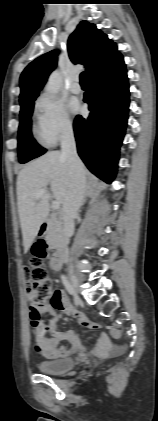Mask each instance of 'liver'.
<instances>
[{
	"mask_svg": "<svg viewBox=\"0 0 158 421\" xmlns=\"http://www.w3.org/2000/svg\"><path fill=\"white\" fill-rule=\"evenodd\" d=\"M69 185L68 162L60 151L47 152L19 172L17 203L25 252L49 214L51 194L63 204ZM47 186H50L51 193L47 191ZM40 190H46V193L36 200L35 196Z\"/></svg>",
	"mask_w": 158,
	"mask_h": 421,
	"instance_id": "obj_1",
	"label": "liver"
}]
</instances>
